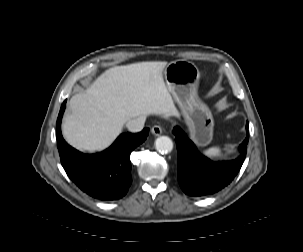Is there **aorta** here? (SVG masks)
I'll return each mask as SVG.
<instances>
[{"instance_id": "762f6f07", "label": "aorta", "mask_w": 303, "mask_h": 252, "mask_svg": "<svg viewBox=\"0 0 303 252\" xmlns=\"http://www.w3.org/2000/svg\"><path fill=\"white\" fill-rule=\"evenodd\" d=\"M155 148L160 153H169L173 149V142L168 136H160L155 140Z\"/></svg>"}]
</instances>
